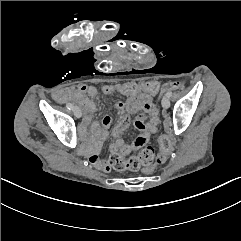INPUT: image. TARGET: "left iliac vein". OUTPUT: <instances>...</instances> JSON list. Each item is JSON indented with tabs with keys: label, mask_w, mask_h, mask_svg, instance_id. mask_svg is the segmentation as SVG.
<instances>
[{
	"label": "left iliac vein",
	"mask_w": 241,
	"mask_h": 241,
	"mask_svg": "<svg viewBox=\"0 0 241 241\" xmlns=\"http://www.w3.org/2000/svg\"><path fill=\"white\" fill-rule=\"evenodd\" d=\"M162 106L164 109H168L170 107V101L169 98L167 96L163 97L162 99Z\"/></svg>",
	"instance_id": "1"
}]
</instances>
